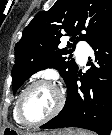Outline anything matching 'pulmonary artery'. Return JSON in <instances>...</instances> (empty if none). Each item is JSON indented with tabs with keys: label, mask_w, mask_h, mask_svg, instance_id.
Wrapping results in <instances>:
<instances>
[{
	"label": "pulmonary artery",
	"mask_w": 112,
	"mask_h": 135,
	"mask_svg": "<svg viewBox=\"0 0 112 135\" xmlns=\"http://www.w3.org/2000/svg\"><path fill=\"white\" fill-rule=\"evenodd\" d=\"M91 48L86 42H80L77 45V50H76V57L77 60L80 63H85L88 55L90 54Z\"/></svg>",
	"instance_id": "pulmonary-artery-1"
}]
</instances>
